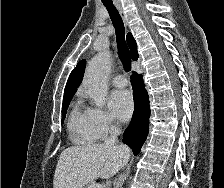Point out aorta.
I'll list each match as a JSON object with an SVG mask.
<instances>
[{"label": "aorta", "instance_id": "762f6f07", "mask_svg": "<svg viewBox=\"0 0 224 188\" xmlns=\"http://www.w3.org/2000/svg\"><path fill=\"white\" fill-rule=\"evenodd\" d=\"M111 68L108 52H100L89 62L84 85L95 105L102 106L107 99V79Z\"/></svg>", "mask_w": 224, "mask_h": 188}]
</instances>
